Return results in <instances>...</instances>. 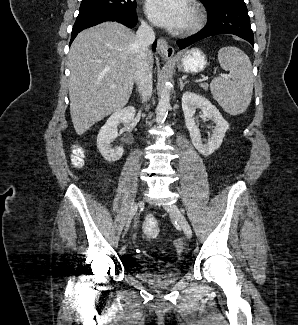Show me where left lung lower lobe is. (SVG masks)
Wrapping results in <instances>:
<instances>
[{"mask_svg":"<svg viewBox=\"0 0 298 325\" xmlns=\"http://www.w3.org/2000/svg\"><path fill=\"white\" fill-rule=\"evenodd\" d=\"M218 34L237 35L254 46L250 18L244 0H232L224 3L208 13L207 25L197 34L177 41L179 49Z\"/></svg>","mask_w":298,"mask_h":325,"instance_id":"0a47b994","label":"left lung lower lobe"}]
</instances>
